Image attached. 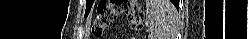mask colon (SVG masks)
<instances>
[{"mask_svg":"<svg viewBox=\"0 0 249 39\" xmlns=\"http://www.w3.org/2000/svg\"><path fill=\"white\" fill-rule=\"evenodd\" d=\"M126 14L130 28L138 31L142 22V8L136 0H108L99 2L93 19L91 34L100 37L116 20L117 16Z\"/></svg>","mask_w":249,"mask_h":39,"instance_id":"colon-1","label":"colon"}]
</instances>
